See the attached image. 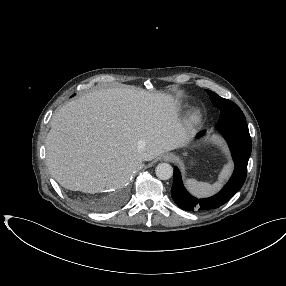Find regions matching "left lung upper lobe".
I'll return each mask as SVG.
<instances>
[{
  "label": "left lung upper lobe",
  "mask_w": 286,
  "mask_h": 286,
  "mask_svg": "<svg viewBox=\"0 0 286 286\" xmlns=\"http://www.w3.org/2000/svg\"><path fill=\"white\" fill-rule=\"evenodd\" d=\"M206 92L209 94L213 105L221 111L220 119L225 117L245 119L243 112L234 102L224 99L210 90H206Z\"/></svg>",
  "instance_id": "left-lung-upper-lobe-1"
}]
</instances>
